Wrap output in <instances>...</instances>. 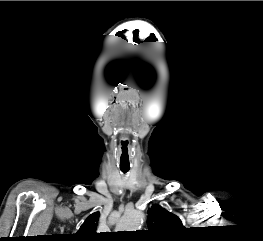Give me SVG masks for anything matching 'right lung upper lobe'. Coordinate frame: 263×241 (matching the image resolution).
<instances>
[{"label":"right lung upper lobe","instance_id":"right-lung-upper-lobe-1","mask_svg":"<svg viewBox=\"0 0 263 241\" xmlns=\"http://www.w3.org/2000/svg\"><path fill=\"white\" fill-rule=\"evenodd\" d=\"M99 215V212H95L87 217L78 232L74 235L75 241H98L100 239V236L96 233Z\"/></svg>","mask_w":263,"mask_h":241}]
</instances>
